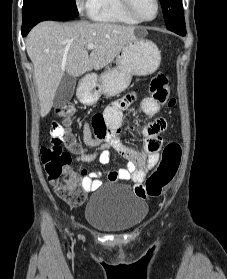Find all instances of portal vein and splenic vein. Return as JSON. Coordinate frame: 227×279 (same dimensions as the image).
<instances>
[{
	"instance_id": "1",
	"label": "portal vein and splenic vein",
	"mask_w": 227,
	"mask_h": 279,
	"mask_svg": "<svg viewBox=\"0 0 227 279\" xmlns=\"http://www.w3.org/2000/svg\"><path fill=\"white\" fill-rule=\"evenodd\" d=\"M95 48V46L93 45V44H88L87 45V50L88 51H90V50H92V49H94Z\"/></svg>"
}]
</instances>
